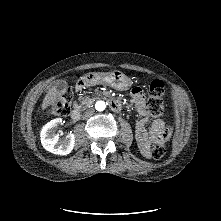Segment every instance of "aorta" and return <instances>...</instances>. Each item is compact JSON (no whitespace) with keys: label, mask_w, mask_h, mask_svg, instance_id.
I'll return each instance as SVG.
<instances>
[{"label":"aorta","mask_w":221,"mask_h":221,"mask_svg":"<svg viewBox=\"0 0 221 221\" xmlns=\"http://www.w3.org/2000/svg\"><path fill=\"white\" fill-rule=\"evenodd\" d=\"M95 108L97 111H103L106 108V103L104 101H97L95 104Z\"/></svg>","instance_id":"1"}]
</instances>
